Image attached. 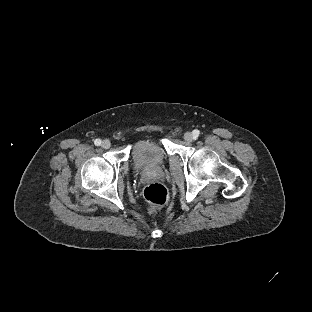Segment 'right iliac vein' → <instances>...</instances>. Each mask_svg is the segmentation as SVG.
<instances>
[{
	"label": "right iliac vein",
	"instance_id": "obj_1",
	"mask_svg": "<svg viewBox=\"0 0 312 312\" xmlns=\"http://www.w3.org/2000/svg\"><path fill=\"white\" fill-rule=\"evenodd\" d=\"M104 149H108L111 147V142L109 140H104L101 144Z\"/></svg>",
	"mask_w": 312,
	"mask_h": 312
}]
</instances>
